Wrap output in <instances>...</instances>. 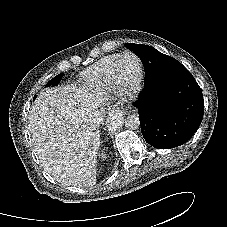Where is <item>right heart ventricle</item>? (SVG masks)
<instances>
[{"instance_id": "e07e8e85", "label": "right heart ventricle", "mask_w": 227, "mask_h": 227, "mask_svg": "<svg viewBox=\"0 0 227 227\" xmlns=\"http://www.w3.org/2000/svg\"><path fill=\"white\" fill-rule=\"evenodd\" d=\"M118 56L119 54L108 55L96 62L84 75L86 84L92 87L112 85L110 71Z\"/></svg>"}]
</instances>
